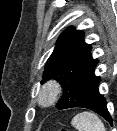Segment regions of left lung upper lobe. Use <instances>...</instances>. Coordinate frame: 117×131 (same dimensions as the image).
<instances>
[{
  "label": "left lung upper lobe",
  "mask_w": 117,
  "mask_h": 131,
  "mask_svg": "<svg viewBox=\"0 0 117 131\" xmlns=\"http://www.w3.org/2000/svg\"><path fill=\"white\" fill-rule=\"evenodd\" d=\"M91 48L84 42L81 30L69 28L59 37L43 74V81L56 79L63 86V96L57 103L59 109H65L69 104L67 92L82 88L94 74L98 61L92 58Z\"/></svg>",
  "instance_id": "1"
}]
</instances>
